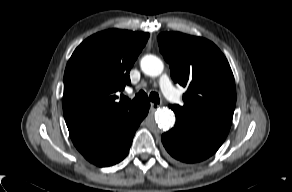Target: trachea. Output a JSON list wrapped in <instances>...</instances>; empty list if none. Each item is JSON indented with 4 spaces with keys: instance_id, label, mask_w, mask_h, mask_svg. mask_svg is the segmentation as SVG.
<instances>
[{
    "instance_id": "trachea-1",
    "label": "trachea",
    "mask_w": 292,
    "mask_h": 192,
    "mask_svg": "<svg viewBox=\"0 0 292 192\" xmlns=\"http://www.w3.org/2000/svg\"><path fill=\"white\" fill-rule=\"evenodd\" d=\"M150 100L154 103H159V95L156 92H151L149 97L144 91H140L137 93L133 99V102L139 103V102H145L147 100ZM122 100L124 101H131L128 97L122 96Z\"/></svg>"
}]
</instances>
